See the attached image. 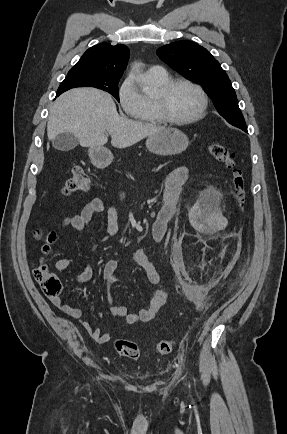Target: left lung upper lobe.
I'll use <instances>...</instances> for the list:
<instances>
[{
	"label": "left lung upper lobe",
	"instance_id": "left-lung-upper-lobe-1",
	"mask_svg": "<svg viewBox=\"0 0 287 434\" xmlns=\"http://www.w3.org/2000/svg\"><path fill=\"white\" fill-rule=\"evenodd\" d=\"M157 55L185 78L201 84L227 122L246 125L227 74L204 47L181 40L160 47Z\"/></svg>",
	"mask_w": 287,
	"mask_h": 434
}]
</instances>
